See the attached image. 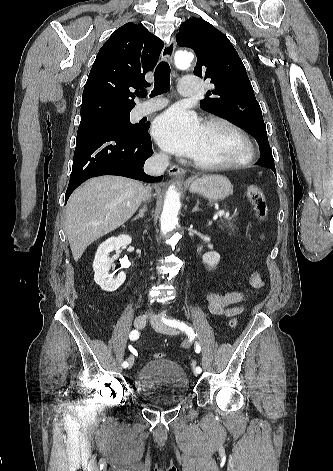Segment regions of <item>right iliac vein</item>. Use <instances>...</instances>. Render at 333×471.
Returning <instances> with one entry per match:
<instances>
[{"instance_id": "1", "label": "right iliac vein", "mask_w": 333, "mask_h": 471, "mask_svg": "<svg viewBox=\"0 0 333 471\" xmlns=\"http://www.w3.org/2000/svg\"><path fill=\"white\" fill-rule=\"evenodd\" d=\"M148 317L146 315L138 316L134 321V326L136 329L140 330L146 326ZM134 363V356L130 355L128 358V368L130 369Z\"/></svg>"}]
</instances>
